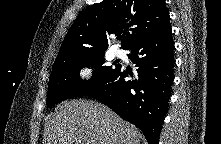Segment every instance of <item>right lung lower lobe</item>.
Instances as JSON below:
<instances>
[{"label": "right lung lower lobe", "mask_w": 221, "mask_h": 144, "mask_svg": "<svg viewBox=\"0 0 221 144\" xmlns=\"http://www.w3.org/2000/svg\"><path fill=\"white\" fill-rule=\"evenodd\" d=\"M128 50L133 73L119 66L105 83L85 96L96 97L124 120L141 129L149 144H158L174 80V42L170 23L134 43Z\"/></svg>", "instance_id": "right-lung-lower-lobe-1"}]
</instances>
